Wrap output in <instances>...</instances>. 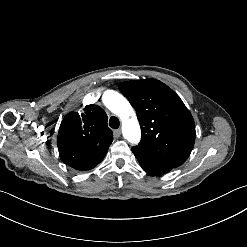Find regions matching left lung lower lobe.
<instances>
[{"label": "left lung lower lobe", "instance_id": "obj_1", "mask_svg": "<svg viewBox=\"0 0 247 247\" xmlns=\"http://www.w3.org/2000/svg\"><path fill=\"white\" fill-rule=\"evenodd\" d=\"M132 152L139 161V164L142 167V169L150 175H163L174 168L172 166H169L165 163L151 158L145 153L138 152L134 148H132Z\"/></svg>", "mask_w": 247, "mask_h": 247}]
</instances>
